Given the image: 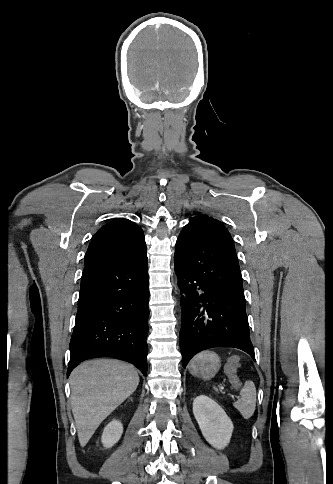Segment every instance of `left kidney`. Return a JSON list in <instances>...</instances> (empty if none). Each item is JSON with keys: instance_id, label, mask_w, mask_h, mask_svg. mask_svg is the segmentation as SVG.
Returning a JSON list of instances; mask_svg holds the SVG:
<instances>
[{"instance_id": "1", "label": "left kidney", "mask_w": 333, "mask_h": 484, "mask_svg": "<svg viewBox=\"0 0 333 484\" xmlns=\"http://www.w3.org/2000/svg\"><path fill=\"white\" fill-rule=\"evenodd\" d=\"M193 413L206 441L216 449H224L234 427L222 407L206 395H199L193 401Z\"/></svg>"}]
</instances>
